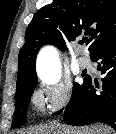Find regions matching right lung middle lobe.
<instances>
[{"label":"right lung middle lobe","mask_w":116,"mask_h":134,"mask_svg":"<svg viewBox=\"0 0 116 134\" xmlns=\"http://www.w3.org/2000/svg\"><path fill=\"white\" fill-rule=\"evenodd\" d=\"M85 81V79H84ZM37 82L30 83L25 86L22 92L15 95V112L14 118L12 121V128L23 125L26 122V113L29 105V101L31 99V95L34 91L35 85ZM83 84L74 83L71 100H73L82 89Z\"/></svg>","instance_id":"1"}]
</instances>
